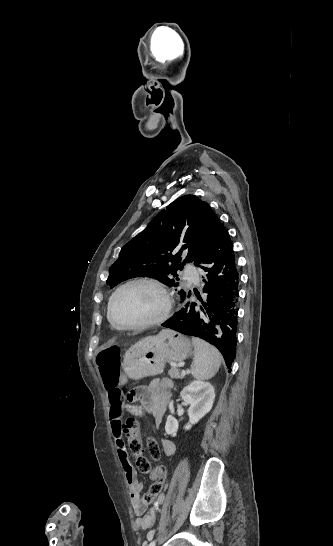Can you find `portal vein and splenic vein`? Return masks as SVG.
<instances>
[{"label": "portal vein and splenic vein", "instance_id": "1", "mask_svg": "<svg viewBox=\"0 0 333 546\" xmlns=\"http://www.w3.org/2000/svg\"><path fill=\"white\" fill-rule=\"evenodd\" d=\"M181 375L182 376H185L186 375V372L184 370L181 371Z\"/></svg>", "mask_w": 333, "mask_h": 546}]
</instances>
